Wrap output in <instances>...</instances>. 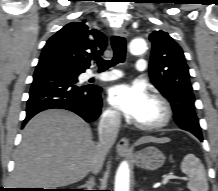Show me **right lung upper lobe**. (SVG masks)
Wrapping results in <instances>:
<instances>
[{
	"label": "right lung upper lobe",
	"instance_id": "1",
	"mask_svg": "<svg viewBox=\"0 0 218 191\" xmlns=\"http://www.w3.org/2000/svg\"><path fill=\"white\" fill-rule=\"evenodd\" d=\"M106 46L103 33L90 29L85 21L71 22L47 41L41 56L56 57L85 71L90 67V61L101 55Z\"/></svg>",
	"mask_w": 218,
	"mask_h": 191
}]
</instances>
